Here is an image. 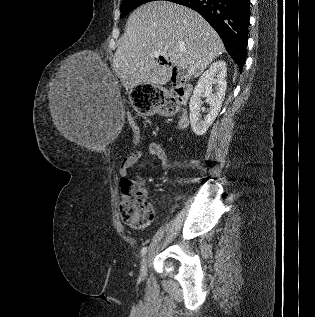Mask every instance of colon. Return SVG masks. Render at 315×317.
<instances>
[{
    "label": "colon",
    "mask_w": 315,
    "mask_h": 317,
    "mask_svg": "<svg viewBox=\"0 0 315 317\" xmlns=\"http://www.w3.org/2000/svg\"><path fill=\"white\" fill-rule=\"evenodd\" d=\"M156 98L161 110L166 114H171L178 110L182 95L160 91V95H156ZM130 127L134 138L139 140L141 129L134 119L130 120ZM121 194L120 214L122 220L126 224L139 229L150 225L154 220V209L147 200L144 189L136 181L124 179L121 181Z\"/></svg>",
    "instance_id": "obj_1"
}]
</instances>
